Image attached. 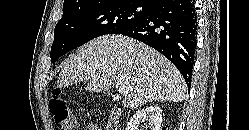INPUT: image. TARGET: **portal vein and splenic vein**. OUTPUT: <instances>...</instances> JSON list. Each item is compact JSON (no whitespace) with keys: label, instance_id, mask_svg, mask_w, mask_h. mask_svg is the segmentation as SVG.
<instances>
[{"label":"portal vein and splenic vein","instance_id":"1","mask_svg":"<svg viewBox=\"0 0 249 130\" xmlns=\"http://www.w3.org/2000/svg\"><path fill=\"white\" fill-rule=\"evenodd\" d=\"M127 92V88L125 86L119 87V93L120 94H125Z\"/></svg>","mask_w":249,"mask_h":130}]
</instances>
